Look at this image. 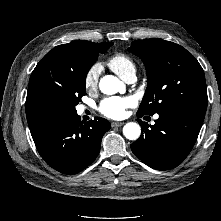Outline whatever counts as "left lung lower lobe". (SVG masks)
<instances>
[{
  "mask_svg": "<svg viewBox=\"0 0 221 221\" xmlns=\"http://www.w3.org/2000/svg\"><path fill=\"white\" fill-rule=\"evenodd\" d=\"M138 117L143 115L137 113ZM205 112L176 107L163 111L149 126L140 119L143 128L140 138L131 144L133 153L146 165L157 170L177 167L194 146L200 132Z\"/></svg>",
  "mask_w": 221,
  "mask_h": 221,
  "instance_id": "left-lung-lower-lobe-1",
  "label": "left lung lower lobe"
}]
</instances>
